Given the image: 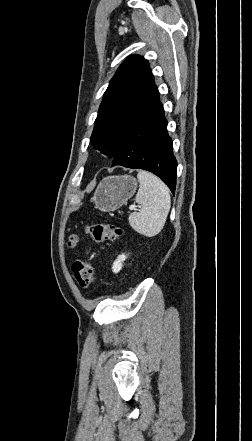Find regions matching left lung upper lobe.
<instances>
[{
  "label": "left lung upper lobe",
  "instance_id": "obj_1",
  "mask_svg": "<svg viewBox=\"0 0 252 441\" xmlns=\"http://www.w3.org/2000/svg\"><path fill=\"white\" fill-rule=\"evenodd\" d=\"M154 84L148 61L143 57L132 55L121 64L104 93L95 120L91 136L95 149L109 158L115 156Z\"/></svg>",
  "mask_w": 252,
  "mask_h": 441
}]
</instances>
